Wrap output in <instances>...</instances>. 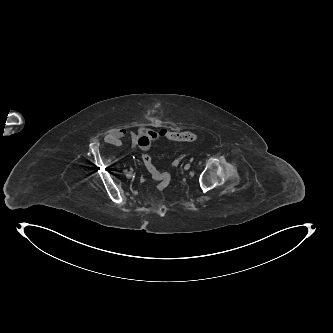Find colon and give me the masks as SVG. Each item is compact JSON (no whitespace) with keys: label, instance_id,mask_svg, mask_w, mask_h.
<instances>
[{"label":"colon","instance_id":"5ec220e1","mask_svg":"<svg viewBox=\"0 0 333 333\" xmlns=\"http://www.w3.org/2000/svg\"><path fill=\"white\" fill-rule=\"evenodd\" d=\"M160 134L170 141L195 142L198 140L197 134L190 131L172 132L167 130H160ZM142 161L152 178L156 181L157 189L159 191H165L168 189L171 183L170 176L167 173L159 171L155 167L152 162V158L148 153L142 155Z\"/></svg>","mask_w":333,"mask_h":333}]
</instances>
